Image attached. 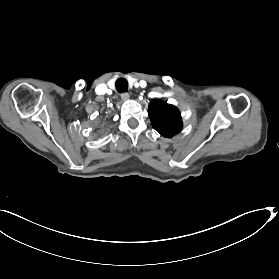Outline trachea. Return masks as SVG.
I'll use <instances>...</instances> for the list:
<instances>
[{"instance_id":"obj_1","label":"trachea","mask_w":279,"mask_h":279,"mask_svg":"<svg viewBox=\"0 0 279 279\" xmlns=\"http://www.w3.org/2000/svg\"><path fill=\"white\" fill-rule=\"evenodd\" d=\"M115 86L119 93H125L128 91V81L124 78H119L116 81Z\"/></svg>"}]
</instances>
